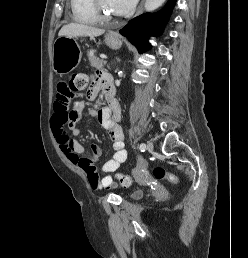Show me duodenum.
<instances>
[{"mask_svg":"<svg viewBox=\"0 0 248 258\" xmlns=\"http://www.w3.org/2000/svg\"><path fill=\"white\" fill-rule=\"evenodd\" d=\"M104 82H105V89H106V97L109 101H111L114 95V86L112 82L109 81L107 78H104Z\"/></svg>","mask_w":248,"mask_h":258,"instance_id":"duodenum-1","label":"duodenum"}]
</instances>
